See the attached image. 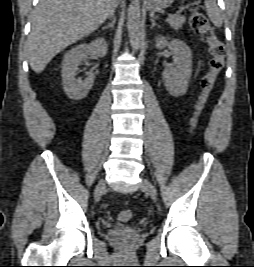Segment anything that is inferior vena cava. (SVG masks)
Instances as JSON below:
<instances>
[{"instance_id": "inferior-vena-cava-1", "label": "inferior vena cava", "mask_w": 254, "mask_h": 267, "mask_svg": "<svg viewBox=\"0 0 254 267\" xmlns=\"http://www.w3.org/2000/svg\"><path fill=\"white\" fill-rule=\"evenodd\" d=\"M116 6H117V2L115 1L109 15H113Z\"/></svg>"}]
</instances>
